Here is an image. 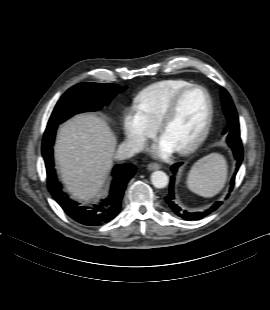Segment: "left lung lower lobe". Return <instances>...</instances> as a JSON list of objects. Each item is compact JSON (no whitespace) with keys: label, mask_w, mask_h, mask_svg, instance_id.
Listing matches in <instances>:
<instances>
[{"label":"left lung lower lobe","mask_w":270,"mask_h":310,"mask_svg":"<svg viewBox=\"0 0 270 310\" xmlns=\"http://www.w3.org/2000/svg\"><path fill=\"white\" fill-rule=\"evenodd\" d=\"M232 148V151L234 153V157L237 160V164H236V170L234 173V176L231 179V187H230V191L233 188L234 185V180H235V175L236 172L239 169V166L241 165L242 159H243V149H242V144L241 141H237L235 143H233L232 145H229ZM182 163H176L171 167L172 172L175 174L178 167L181 165ZM174 183H175V176H171L170 178V184H169V190H168V194L165 197V201L166 203L169 205V207L181 218L185 219V220H198L203 218L204 216L210 214L211 212H213L214 210H216L221 204L222 202L218 201L216 202L212 207H210L208 210L204 211V212H195V213H191L188 212L186 210H182L175 202H174Z\"/></svg>","instance_id":"obj_1"}]
</instances>
